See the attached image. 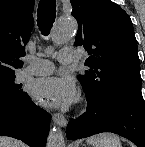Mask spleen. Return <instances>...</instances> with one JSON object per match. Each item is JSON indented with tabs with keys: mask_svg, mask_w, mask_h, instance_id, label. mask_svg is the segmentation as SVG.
<instances>
[{
	"mask_svg": "<svg viewBox=\"0 0 145 147\" xmlns=\"http://www.w3.org/2000/svg\"><path fill=\"white\" fill-rule=\"evenodd\" d=\"M87 141L93 147H121L119 137L111 133L98 134Z\"/></svg>",
	"mask_w": 145,
	"mask_h": 147,
	"instance_id": "obj_1",
	"label": "spleen"
}]
</instances>
